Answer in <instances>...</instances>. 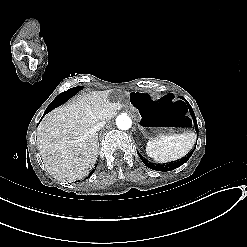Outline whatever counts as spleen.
Here are the masks:
<instances>
[{
    "mask_svg": "<svg viewBox=\"0 0 247 247\" xmlns=\"http://www.w3.org/2000/svg\"><path fill=\"white\" fill-rule=\"evenodd\" d=\"M196 134L187 132L171 136L161 135L148 141L146 153L155 162L167 163L187 155L194 147Z\"/></svg>",
    "mask_w": 247,
    "mask_h": 247,
    "instance_id": "1",
    "label": "spleen"
}]
</instances>
